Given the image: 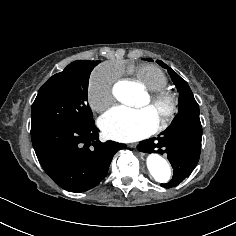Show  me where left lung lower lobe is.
<instances>
[{
  "instance_id": "obj_1",
  "label": "left lung lower lobe",
  "mask_w": 236,
  "mask_h": 236,
  "mask_svg": "<svg viewBox=\"0 0 236 236\" xmlns=\"http://www.w3.org/2000/svg\"><path fill=\"white\" fill-rule=\"evenodd\" d=\"M202 127L170 125L158 138L141 141L137 149L146 153H165L174 171L172 179L161 184L171 188L181 183L196 167L201 151Z\"/></svg>"
}]
</instances>
